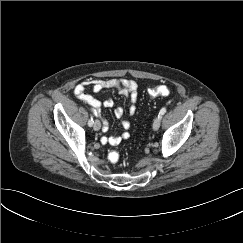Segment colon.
<instances>
[{
	"instance_id": "obj_1",
	"label": "colon",
	"mask_w": 243,
	"mask_h": 243,
	"mask_svg": "<svg viewBox=\"0 0 243 243\" xmlns=\"http://www.w3.org/2000/svg\"><path fill=\"white\" fill-rule=\"evenodd\" d=\"M149 95L151 96H167L170 94L169 87L165 85H158L152 87L148 90ZM108 159L111 163H117L120 159V154L117 151H111L108 154Z\"/></svg>"
}]
</instances>
